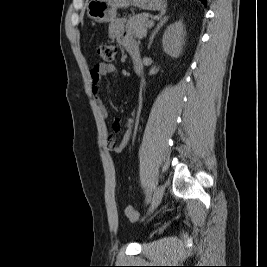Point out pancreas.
<instances>
[{
  "mask_svg": "<svg viewBox=\"0 0 267 267\" xmlns=\"http://www.w3.org/2000/svg\"><path fill=\"white\" fill-rule=\"evenodd\" d=\"M149 21V14L141 13L129 17L126 23L127 30L137 39L146 37Z\"/></svg>",
  "mask_w": 267,
  "mask_h": 267,
  "instance_id": "1",
  "label": "pancreas"
}]
</instances>
